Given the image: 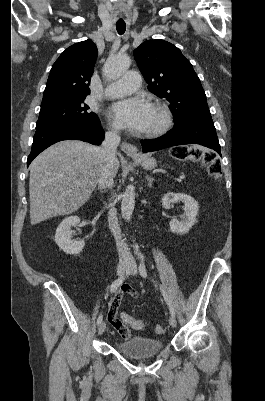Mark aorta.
<instances>
[{
    "label": "aorta",
    "mask_w": 265,
    "mask_h": 401,
    "mask_svg": "<svg viewBox=\"0 0 265 401\" xmlns=\"http://www.w3.org/2000/svg\"><path fill=\"white\" fill-rule=\"evenodd\" d=\"M131 60L129 56L126 58H107L104 66L103 72L107 80H114V78H119L122 76V72H125L129 68ZM135 207V186H127L121 203V213L123 219L130 221L132 213ZM134 253L138 255L139 247H134Z\"/></svg>",
    "instance_id": "1"
}]
</instances>
